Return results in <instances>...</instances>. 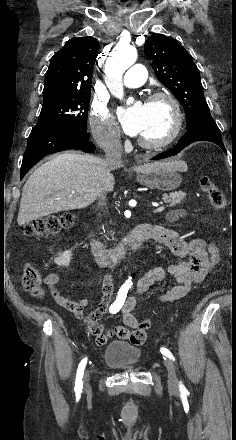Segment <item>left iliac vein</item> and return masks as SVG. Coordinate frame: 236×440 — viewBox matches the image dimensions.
I'll use <instances>...</instances> for the list:
<instances>
[{"label":"left iliac vein","instance_id":"left-iliac-vein-1","mask_svg":"<svg viewBox=\"0 0 236 440\" xmlns=\"http://www.w3.org/2000/svg\"><path fill=\"white\" fill-rule=\"evenodd\" d=\"M164 364L168 371V386L171 390H177L178 379H177L175 365L169 358H165Z\"/></svg>","mask_w":236,"mask_h":440}]
</instances>
